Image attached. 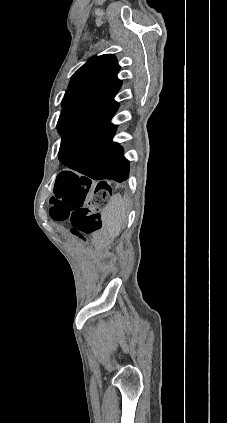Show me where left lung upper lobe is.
Instances as JSON below:
<instances>
[{"label":"left lung upper lobe","mask_w":227,"mask_h":423,"mask_svg":"<svg viewBox=\"0 0 227 423\" xmlns=\"http://www.w3.org/2000/svg\"><path fill=\"white\" fill-rule=\"evenodd\" d=\"M118 70L115 56L105 54L92 57L74 73L57 124L63 138L116 112L114 97L121 87Z\"/></svg>","instance_id":"5c2ea615"}]
</instances>
